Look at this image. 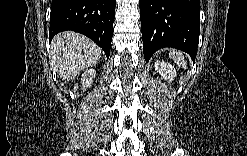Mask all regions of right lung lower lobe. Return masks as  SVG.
I'll list each match as a JSON object with an SVG mask.
<instances>
[{"instance_id": "1", "label": "right lung lower lobe", "mask_w": 247, "mask_h": 156, "mask_svg": "<svg viewBox=\"0 0 247 156\" xmlns=\"http://www.w3.org/2000/svg\"><path fill=\"white\" fill-rule=\"evenodd\" d=\"M116 0H53L50 40L55 34L72 30L84 34L110 55Z\"/></svg>"}]
</instances>
